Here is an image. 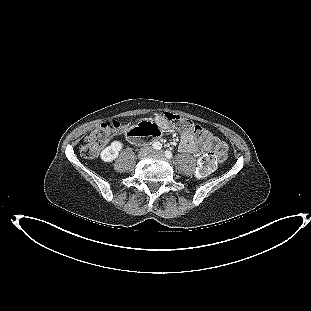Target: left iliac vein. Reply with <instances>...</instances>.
Instances as JSON below:
<instances>
[{
  "label": "left iliac vein",
  "mask_w": 311,
  "mask_h": 311,
  "mask_svg": "<svg viewBox=\"0 0 311 311\" xmlns=\"http://www.w3.org/2000/svg\"><path fill=\"white\" fill-rule=\"evenodd\" d=\"M152 154H157V155L162 156V155H163V151H162V150H159V151H152Z\"/></svg>",
  "instance_id": "left-iliac-vein-1"
}]
</instances>
